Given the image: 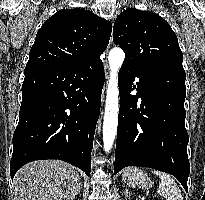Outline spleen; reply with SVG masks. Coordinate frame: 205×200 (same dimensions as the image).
I'll use <instances>...</instances> for the list:
<instances>
[{"label":"spleen","mask_w":205,"mask_h":200,"mask_svg":"<svg viewBox=\"0 0 205 200\" xmlns=\"http://www.w3.org/2000/svg\"><path fill=\"white\" fill-rule=\"evenodd\" d=\"M152 172L161 180L157 191L160 196L165 198V200H183L181 190L169 174L161 171Z\"/></svg>","instance_id":"1"}]
</instances>
